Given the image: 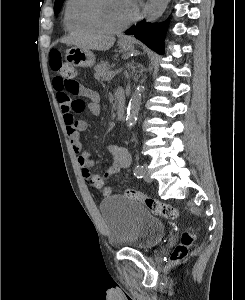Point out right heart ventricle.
<instances>
[{
  "label": "right heart ventricle",
  "mask_w": 245,
  "mask_h": 300,
  "mask_svg": "<svg viewBox=\"0 0 245 300\" xmlns=\"http://www.w3.org/2000/svg\"><path fill=\"white\" fill-rule=\"evenodd\" d=\"M90 0H67L64 24L71 33L94 34L98 31L87 20V7Z\"/></svg>",
  "instance_id": "1"
}]
</instances>
